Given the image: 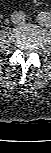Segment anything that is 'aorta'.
Returning <instances> with one entry per match:
<instances>
[{
	"mask_svg": "<svg viewBox=\"0 0 51 153\" xmlns=\"http://www.w3.org/2000/svg\"><path fill=\"white\" fill-rule=\"evenodd\" d=\"M36 21L46 29L51 28V15L48 12H41L37 15Z\"/></svg>",
	"mask_w": 51,
	"mask_h": 153,
	"instance_id": "1",
	"label": "aorta"
}]
</instances>
